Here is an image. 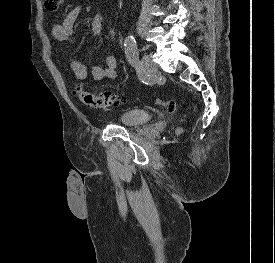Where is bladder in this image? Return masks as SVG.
Segmentation results:
<instances>
[{
    "instance_id": "1",
    "label": "bladder",
    "mask_w": 275,
    "mask_h": 263,
    "mask_svg": "<svg viewBox=\"0 0 275 263\" xmlns=\"http://www.w3.org/2000/svg\"><path fill=\"white\" fill-rule=\"evenodd\" d=\"M151 114L144 110L132 109L121 115V122L126 127H136L151 120Z\"/></svg>"
}]
</instances>
